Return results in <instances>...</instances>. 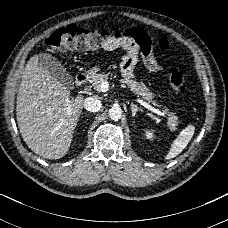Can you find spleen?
<instances>
[{
  "label": "spleen",
  "instance_id": "3e777b00",
  "mask_svg": "<svg viewBox=\"0 0 228 228\" xmlns=\"http://www.w3.org/2000/svg\"><path fill=\"white\" fill-rule=\"evenodd\" d=\"M195 133L194 124H189L183 129L171 143L164 160L172 159L178 156L189 144Z\"/></svg>",
  "mask_w": 228,
  "mask_h": 228
}]
</instances>
